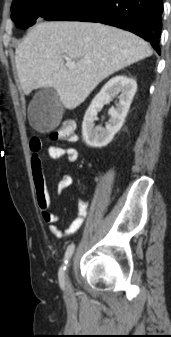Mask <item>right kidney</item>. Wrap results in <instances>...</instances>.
Segmentation results:
<instances>
[{
	"mask_svg": "<svg viewBox=\"0 0 171 337\" xmlns=\"http://www.w3.org/2000/svg\"><path fill=\"white\" fill-rule=\"evenodd\" d=\"M136 90V81L123 75L113 77L103 86L88 107L82 123V135L89 146L101 148L112 141L124 123ZM118 95L119 102L109 109L110 119L105 128L95 127L98 111Z\"/></svg>",
	"mask_w": 171,
	"mask_h": 337,
	"instance_id": "ca27d5eb",
	"label": "right kidney"
}]
</instances>
